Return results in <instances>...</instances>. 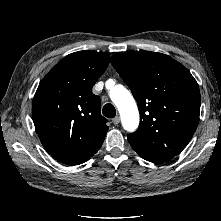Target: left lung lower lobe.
I'll use <instances>...</instances> for the list:
<instances>
[{"label":"left lung lower lobe","instance_id":"1","mask_svg":"<svg viewBox=\"0 0 221 221\" xmlns=\"http://www.w3.org/2000/svg\"><path fill=\"white\" fill-rule=\"evenodd\" d=\"M144 159L150 162H154V163H160V162L165 161V160L157 159V158H144Z\"/></svg>","mask_w":221,"mask_h":221}]
</instances>
